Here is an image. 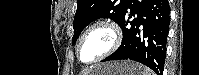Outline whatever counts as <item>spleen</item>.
Returning <instances> with one entry per match:
<instances>
[{"label":"spleen","mask_w":199,"mask_h":75,"mask_svg":"<svg viewBox=\"0 0 199 75\" xmlns=\"http://www.w3.org/2000/svg\"><path fill=\"white\" fill-rule=\"evenodd\" d=\"M142 75H153V74H152L151 70H149L148 68H144L143 72H142Z\"/></svg>","instance_id":"1"}]
</instances>
